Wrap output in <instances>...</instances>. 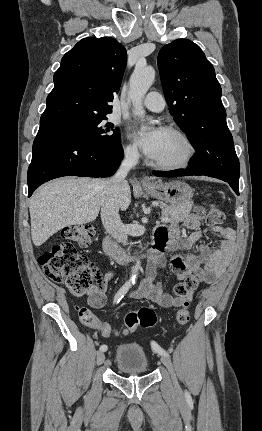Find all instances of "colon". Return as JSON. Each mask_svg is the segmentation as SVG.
Segmentation results:
<instances>
[{"mask_svg":"<svg viewBox=\"0 0 262 431\" xmlns=\"http://www.w3.org/2000/svg\"><path fill=\"white\" fill-rule=\"evenodd\" d=\"M223 221V212L217 206L211 205L207 212V223L216 226ZM94 233L92 227L85 225L64 229L62 242L45 251L38 259L46 277L54 283L65 285L68 291L76 297L82 296L90 287L92 279L97 273L95 263L78 253L76 246H88ZM198 284L199 280L196 277L189 276L174 287L175 295L184 300L176 314L179 325H186L190 320L188 299ZM80 319L83 324L98 329L103 336L108 337L114 333L111 326L102 324L84 308L80 310ZM156 321V314L150 307L131 310L124 318V328L121 334L133 333L138 327H154Z\"/></svg>","mask_w":262,"mask_h":431,"instance_id":"5ec220e1","label":"colon"}]
</instances>
